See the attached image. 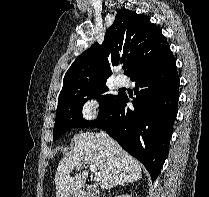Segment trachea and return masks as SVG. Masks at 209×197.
<instances>
[{"instance_id": "1", "label": "trachea", "mask_w": 209, "mask_h": 197, "mask_svg": "<svg viewBox=\"0 0 209 197\" xmlns=\"http://www.w3.org/2000/svg\"><path fill=\"white\" fill-rule=\"evenodd\" d=\"M123 69L126 70V66H123Z\"/></svg>"}]
</instances>
